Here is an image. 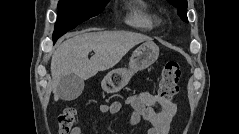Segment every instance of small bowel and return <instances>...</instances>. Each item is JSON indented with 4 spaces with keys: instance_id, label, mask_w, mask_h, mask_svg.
Wrapping results in <instances>:
<instances>
[{
    "instance_id": "1",
    "label": "small bowel",
    "mask_w": 239,
    "mask_h": 134,
    "mask_svg": "<svg viewBox=\"0 0 239 134\" xmlns=\"http://www.w3.org/2000/svg\"><path fill=\"white\" fill-rule=\"evenodd\" d=\"M126 104L131 109V125H137L141 119L149 124L146 134H168L170 124L174 119L177 107L170 100L148 91H140L127 98ZM123 107L120 101L103 103L99 110L103 114H117ZM71 134H84V130L77 126L71 130Z\"/></svg>"
}]
</instances>
